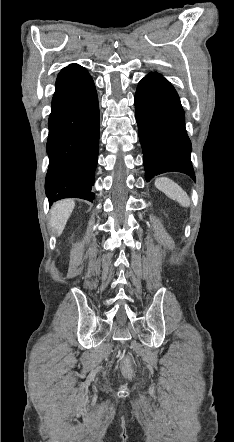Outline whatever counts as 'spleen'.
<instances>
[{
    "instance_id": "spleen-1",
    "label": "spleen",
    "mask_w": 234,
    "mask_h": 442,
    "mask_svg": "<svg viewBox=\"0 0 234 442\" xmlns=\"http://www.w3.org/2000/svg\"><path fill=\"white\" fill-rule=\"evenodd\" d=\"M155 186L167 197L176 200L184 207L190 206V198L187 193L173 180L167 177H159L155 180Z\"/></svg>"
}]
</instances>
